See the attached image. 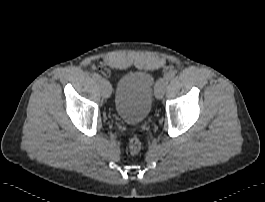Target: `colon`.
<instances>
[{
  "instance_id": "colon-1",
  "label": "colon",
  "mask_w": 265,
  "mask_h": 202,
  "mask_svg": "<svg viewBox=\"0 0 265 202\" xmlns=\"http://www.w3.org/2000/svg\"><path fill=\"white\" fill-rule=\"evenodd\" d=\"M141 146V141L138 137L134 136L129 140L128 147L131 153H138L141 149Z\"/></svg>"
}]
</instances>
